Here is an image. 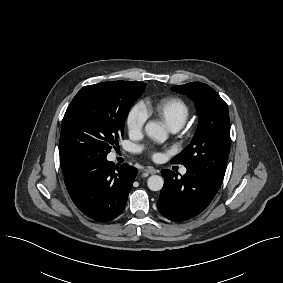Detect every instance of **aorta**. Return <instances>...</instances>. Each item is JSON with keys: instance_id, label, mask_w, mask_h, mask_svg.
Listing matches in <instances>:
<instances>
[{"instance_id": "1", "label": "aorta", "mask_w": 283, "mask_h": 283, "mask_svg": "<svg viewBox=\"0 0 283 283\" xmlns=\"http://www.w3.org/2000/svg\"><path fill=\"white\" fill-rule=\"evenodd\" d=\"M147 136L156 142L163 143L167 140V132L157 122H148L145 126ZM164 180L159 175H152L147 180L148 188L151 191H160L163 187Z\"/></svg>"}]
</instances>
